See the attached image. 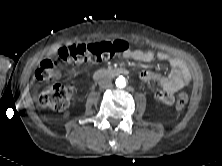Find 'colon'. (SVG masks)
Listing matches in <instances>:
<instances>
[{
    "mask_svg": "<svg viewBox=\"0 0 222 166\" xmlns=\"http://www.w3.org/2000/svg\"><path fill=\"white\" fill-rule=\"evenodd\" d=\"M127 50L128 44L121 40L69 45L59 49L55 58L44 59L36 70L35 77L41 81H53L59 77L58 65L60 63H96L121 55ZM72 95L71 85L54 84L40 94L38 103L49 110L60 111L68 106ZM187 102V94L179 93L176 98V108L183 109Z\"/></svg>",
    "mask_w": 222,
    "mask_h": 166,
    "instance_id": "obj_1",
    "label": "colon"
}]
</instances>
